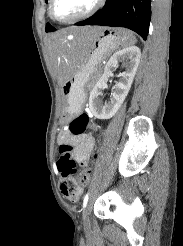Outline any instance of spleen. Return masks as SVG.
Returning a JSON list of instances; mask_svg holds the SVG:
<instances>
[{
	"label": "spleen",
	"mask_w": 183,
	"mask_h": 246,
	"mask_svg": "<svg viewBox=\"0 0 183 246\" xmlns=\"http://www.w3.org/2000/svg\"><path fill=\"white\" fill-rule=\"evenodd\" d=\"M123 35H124V42H123L124 46H129L136 43V37L133 35V33L129 31H123Z\"/></svg>",
	"instance_id": "spleen-1"
}]
</instances>
